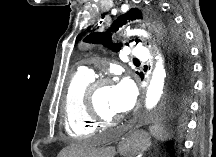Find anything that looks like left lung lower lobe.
I'll return each instance as SVG.
<instances>
[{
  "instance_id": "left-lung-lower-lobe-1",
  "label": "left lung lower lobe",
  "mask_w": 216,
  "mask_h": 157,
  "mask_svg": "<svg viewBox=\"0 0 216 157\" xmlns=\"http://www.w3.org/2000/svg\"><path fill=\"white\" fill-rule=\"evenodd\" d=\"M141 78L143 77L141 76ZM192 87L191 79L189 82L182 84L172 75L165 108L162 110L160 118L172 123L177 131L183 127L182 116L188 106V97Z\"/></svg>"
}]
</instances>
